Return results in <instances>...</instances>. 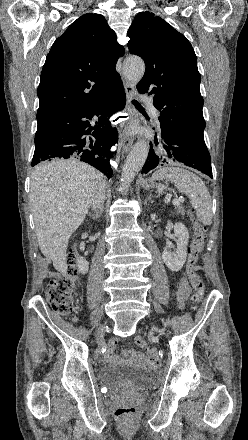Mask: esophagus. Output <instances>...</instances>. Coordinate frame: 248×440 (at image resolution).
<instances>
[{"mask_svg":"<svg viewBox=\"0 0 248 440\" xmlns=\"http://www.w3.org/2000/svg\"><path fill=\"white\" fill-rule=\"evenodd\" d=\"M123 83H124V88H125V93L127 96V111H128V115H129V121L127 123V125L125 126V129L122 133V137H121V146L123 149V153H126L132 146L133 144V138L132 136L129 135V124L131 122V120L133 119L134 115H135V109L133 107V105L131 104V100L132 98L135 97V86L134 84L127 80L125 77H123Z\"/></svg>","mask_w":248,"mask_h":440,"instance_id":"1","label":"esophagus"}]
</instances>
